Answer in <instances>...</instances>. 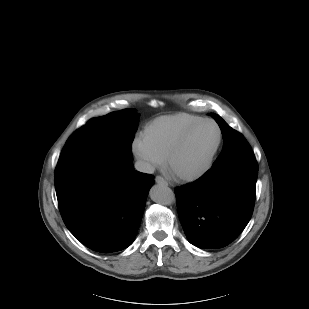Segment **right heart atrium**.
Returning a JSON list of instances; mask_svg holds the SVG:
<instances>
[{"label": "right heart atrium", "mask_w": 309, "mask_h": 309, "mask_svg": "<svg viewBox=\"0 0 309 309\" xmlns=\"http://www.w3.org/2000/svg\"><path fill=\"white\" fill-rule=\"evenodd\" d=\"M131 150L143 171H151L163 163V159L150 148L143 136L133 140Z\"/></svg>", "instance_id": "1"}]
</instances>
